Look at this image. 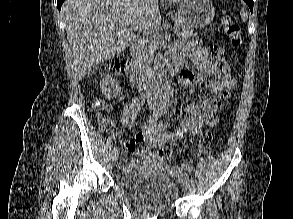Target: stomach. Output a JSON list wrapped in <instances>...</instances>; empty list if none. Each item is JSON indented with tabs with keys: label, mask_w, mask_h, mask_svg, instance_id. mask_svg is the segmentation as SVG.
<instances>
[{
	"label": "stomach",
	"mask_w": 293,
	"mask_h": 219,
	"mask_svg": "<svg viewBox=\"0 0 293 219\" xmlns=\"http://www.w3.org/2000/svg\"><path fill=\"white\" fill-rule=\"evenodd\" d=\"M179 14L192 27L202 28L212 22L215 9L210 0H182Z\"/></svg>",
	"instance_id": "stomach-1"
}]
</instances>
